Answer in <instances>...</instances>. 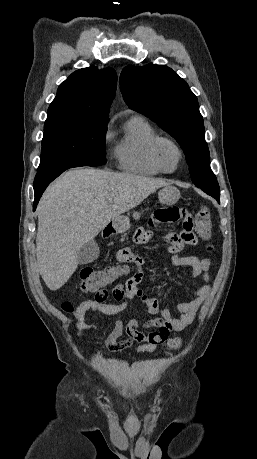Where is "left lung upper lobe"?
Wrapping results in <instances>:
<instances>
[{
	"label": "left lung upper lobe",
	"instance_id": "left-lung-upper-lobe-1",
	"mask_svg": "<svg viewBox=\"0 0 257 459\" xmlns=\"http://www.w3.org/2000/svg\"><path fill=\"white\" fill-rule=\"evenodd\" d=\"M120 89L129 108L144 114L174 137L186 155L192 181L220 201V189L211 171L203 117L187 83L164 65L127 66Z\"/></svg>",
	"mask_w": 257,
	"mask_h": 459
}]
</instances>
